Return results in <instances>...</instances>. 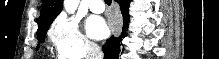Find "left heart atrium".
I'll return each mask as SVG.
<instances>
[{"label":"left heart atrium","instance_id":"obj_1","mask_svg":"<svg viewBox=\"0 0 219 59\" xmlns=\"http://www.w3.org/2000/svg\"><path fill=\"white\" fill-rule=\"evenodd\" d=\"M85 26L88 35L96 40L105 38L109 31L105 20L99 16H90Z\"/></svg>","mask_w":219,"mask_h":59}]
</instances>
